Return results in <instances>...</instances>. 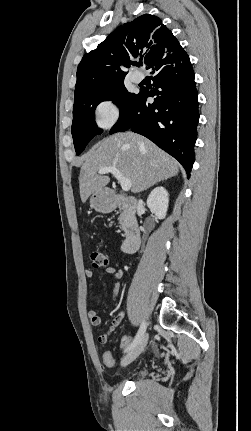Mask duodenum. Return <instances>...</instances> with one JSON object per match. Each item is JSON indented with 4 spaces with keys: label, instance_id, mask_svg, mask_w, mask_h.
<instances>
[{
    "label": "duodenum",
    "instance_id": "duodenum-1",
    "mask_svg": "<svg viewBox=\"0 0 251 431\" xmlns=\"http://www.w3.org/2000/svg\"><path fill=\"white\" fill-rule=\"evenodd\" d=\"M114 207L125 210V238L121 244V250L124 253L135 252L141 241L140 227L137 219L138 205L133 197L115 195L112 198Z\"/></svg>",
    "mask_w": 251,
    "mask_h": 431
}]
</instances>
